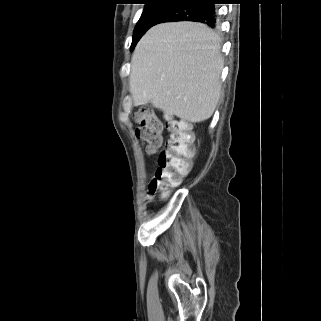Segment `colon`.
Instances as JSON below:
<instances>
[{"label":"colon","instance_id":"colon-1","mask_svg":"<svg viewBox=\"0 0 321 321\" xmlns=\"http://www.w3.org/2000/svg\"><path fill=\"white\" fill-rule=\"evenodd\" d=\"M134 120L138 124L136 137L149 154L154 153L162 144V121L147 109L137 111ZM167 130V140L158 155L157 168L149 184L151 195L157 192L165 194L169 188L177 186L192 167L193 135L188 125L171 119L167 123Z\"/></svg>","mask_w":321,"mask_h":321}]
</instances>
